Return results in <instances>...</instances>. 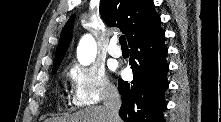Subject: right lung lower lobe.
Listing matches in <instances>:
<instances>
[{"label":"right lung lower lobe","instance_id":"1","mask_svg":"<svg viewBox=\"0 0 221 122\" xmlns=\"http://www.w3.org/2000/svg\"><path fill=\"white\" fill-rule=\"evenodd\" d=\"M165 34L160 21L146 34L129 44L133 81L119 79L122 96L120 117L125 122H164V92L168 88Z\"/></svg>","mask_w":221,"mask_h":122}]
</instances>
